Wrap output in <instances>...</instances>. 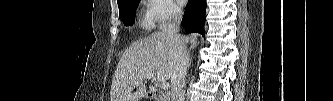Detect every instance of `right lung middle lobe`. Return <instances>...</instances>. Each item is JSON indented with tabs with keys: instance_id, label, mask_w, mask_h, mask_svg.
I'll return each instance as SVG.
<instances>
[{
	"instance_id": "1",
	"label": "right lung middle lobe",
	"mask_w": 333,
	"mask_h": 101,
	"mask_svg": "<svg viewBox=\"0 0 333 101\" xmlns=\"http://www.w3.org/2000/svg\"><path fill=\"white\" fill-rule=\"evenodd\" d=\"M139 2L140 0H122L118 3L120 18L125 26L133 25Z\"/></svg>"
}]
</instances>
